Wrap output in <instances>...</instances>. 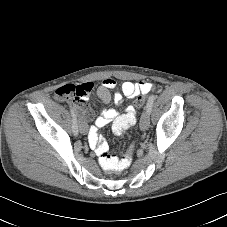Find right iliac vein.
I'll return each instance as SVG.
<instances>
[{
    "mask_svg": "<svg viewBox=\"0 0 227 227\" xmlns=\"http://www.w3.org/2000/svg\"><path fill=\"white\" fill-rule=\"evenodd\" d=\"M80 132L83 133V134H86L87 130H86V128L80 126Z\"/></svg>",
    "mask_w": 227,
    "mask_h": 227,
    "instance_id": "obj_1",
    "label": "right iliac vein"
}]
</instances>
